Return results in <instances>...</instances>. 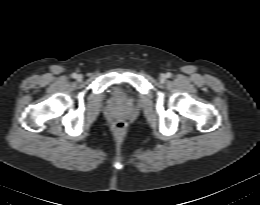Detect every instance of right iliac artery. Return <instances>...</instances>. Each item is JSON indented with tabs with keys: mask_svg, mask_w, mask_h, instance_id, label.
Segmentation results:
<instances>
[{
	"mask_svg": "<svg viewBox=\"0 0 260 205\" xmlns=\"http://www.w3.org/2000/svg\"><path fill=\"white\" fill-rule=\"evenodd\" d=\"M72 77H73V78H76V77H77V74H76V73H73V74H72Z\"/></svg>",
	"mask_w": 260,
	"mask_h": 205,
	"instance_id": "right-iliac-artery-1",
	"label": "right iliac artery"
}]
</instances>
